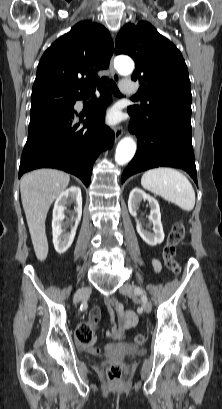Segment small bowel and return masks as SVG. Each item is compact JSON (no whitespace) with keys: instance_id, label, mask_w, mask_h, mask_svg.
<instances>
[{"instance_id":"small-bowel-1","label":"small bowel","mask_w":222,"mask_h":409,"mask_svg":"<svg viewBox=\"0 0 222 409\" xmlns=\"http://www.w3.org/2000/svg\"><path fill=\"white\" fill-rule=\"evenodd\" d=\"M152 263L156 271L161 270V263L158 259H153ZM105 303L116 316L115 324L110 330L106 332V336L112 339V342L105 345L104 349L110 350L125 338L128 330L136 326L138 318L135 312L129 309H125L123 304L116 298L108 297L106 298ZM100 315V309L97 307L93 308L90 311L88 323L93 331L97 327ZM95 339L96 338L93 337V340L90 344H81V347L92 355H98L101 352V349L99 347L94 346Z\"/></svg>"}]
</instances>
